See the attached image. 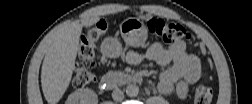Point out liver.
Masks as SVG:
<instances>
[{
	"instance_id": "liver-1",
	"label": "liver",
	"mask_w": 252,
	"mask_h": 104,
	"mask_svg": "<svg viewBox=\"0 0 252 104\" xmlns=\"http://www.w3.org/2000/svg\"><path fill=\"white\" fill-rule=\"evenodd\" d=\"M99 19L95 16L81 22L74 21L54 34L41 70L42 91L48 103H58L70 84L82 28L96 24Z\"/></svg>"
}]
</instances>
